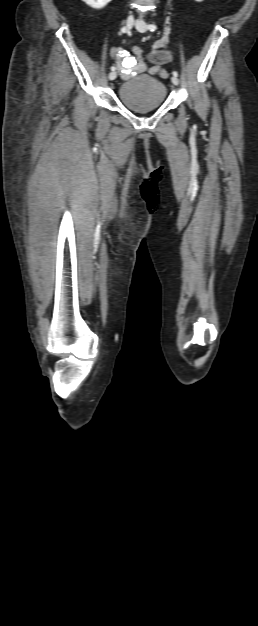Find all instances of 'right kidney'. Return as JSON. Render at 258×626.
<instances>
[{
	"label": "right kidney",
	"instance_id": "ca27d5eb",
	"mask_svg": "<svg viewBox=\"0 0 258 626\" xmlns=\"http://www.w3.org/2000/svg\"><path fill=\"white\" fill-rule=\"evenodd\" d=\"M82 1L85 2L88 6L98 10V9L104 8L112 0H82Z\"/></svg>",
	"mask_w": 258,
	"mask_h": 626
}]
</instances>
